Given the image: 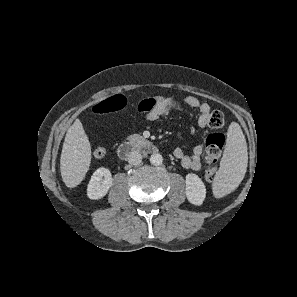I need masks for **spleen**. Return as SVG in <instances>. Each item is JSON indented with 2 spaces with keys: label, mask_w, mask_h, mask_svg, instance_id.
Masks as SVG:
<instances>
[{
  "label": "spleen",
  "mask_w": 297,
  "mask_h": 297,
  "mask_svg": "<svg viewBox=\"0 0 297 297\" xmlns=\"http://www.w3.org/2000/svg\"><path fill=\"white\" fill-rule=\"evenodd\" d=\"M248 163L247 145L240 125L232 122L220 162L217 181L224 192L234 190L244 178Z\"/></svg>",
  "instance_id": "1"
}]
</instances>
